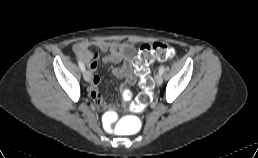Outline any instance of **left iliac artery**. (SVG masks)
Segmentation results:
<instances>
[{"instance_id":"obj_1","label":"left iliac artery","mask_w":258,"mask_h":158,"mask_svg":"<svg viewBox=\"0 0 258 158\" xmlns=\"http://www.w3.org/2000/svg\"><path fill=\"white\" fill-rule=\"evenodd\" d=\"M159 73H160V74H163V73H164V65H162V66L159 68Z\"/></svg>"}]
</instances>
